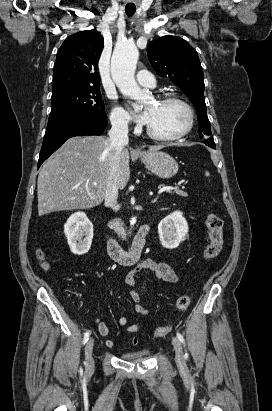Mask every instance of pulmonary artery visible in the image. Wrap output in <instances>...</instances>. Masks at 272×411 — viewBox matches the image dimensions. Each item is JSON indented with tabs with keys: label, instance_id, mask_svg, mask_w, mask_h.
Returning a JSON list of instances; mask_svg holds the SVG:
<instances>
[{
	"label": "pulmonary artery",
	"instance_id": "pulmonary-artery-1",
	"mask_svg": "<svg viewBox=\"0 0 272 411\" xmlns=\"http://www.w3.org/2000/svg\"><path fill=\"white\" fill-rule=\"evenodd\" d=\"M136 78L141 86L153 88L156 85V81L153 75L145 69L139 70Z\"/></svg>",
	"mask_w": 272,
	"mask_h": 411
}]
</instances>
